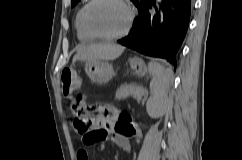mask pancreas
<instances>
[{
  "label": "pancreas",
  "mask_w": 242,
  "mask_h": 160,
  "mask_svg": "<svg viewBox=\"0 0 242 160\" xmlns=\"http://www.w3.org/2000/svg\"><path fill=\"white\" fill-rule=\"evenodd\" d=\"M144 94V91L141 87L136 84H125L121 85L120 88L116 91V98L118 100L125 99L128 96H132L137 100L141 99V96Z\"/></svg>",
  "instance_id": "obj_1"
}]
</instances>
